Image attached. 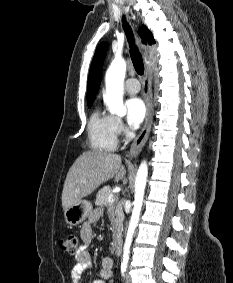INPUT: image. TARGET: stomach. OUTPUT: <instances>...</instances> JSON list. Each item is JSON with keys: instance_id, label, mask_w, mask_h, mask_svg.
<instances>
[{"instance_id": "1", "label": "stomach", "mask_w": 233, "mask_h": 283, "mask_svg": "<svg viewBox=\"0 0 233 283\" xmlns=\"http://www.w3.org/2000/svg\"><path fill=\"white\" fill-rule=\"evenodd\" d=\"M92 204L87 200H81L64 211L67 224L77 226L81 224L91 213Z\"/></svg>"}]
</instances>
